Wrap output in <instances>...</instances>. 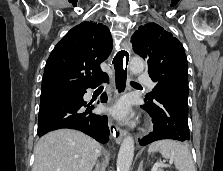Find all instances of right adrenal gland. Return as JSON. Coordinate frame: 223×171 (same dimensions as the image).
I'll return each instance as SVG.
<instances>
[{
	"label": "right adrenal gland",
	"instance_id": "right-adrenal-gland-1",
	"mask_svg": "<svg viewBox=\"0 0 223 171\" xmlns=\"http://www.w3.org/2000/svg\"><path fill=\"white\" fill-rule=\"evenodd\" d=\"M99 170V162L96 164V168L94 171H98Z\"/></svg>",
	"mask_w": 223,
	"mask_h": 171
}]
</instances>
